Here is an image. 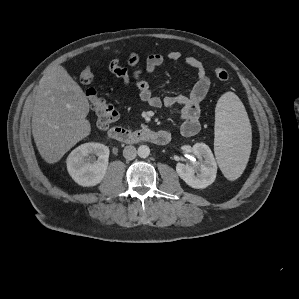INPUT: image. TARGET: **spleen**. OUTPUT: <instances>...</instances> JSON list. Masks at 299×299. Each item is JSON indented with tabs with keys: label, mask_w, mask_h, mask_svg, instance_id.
Here are the masks:
<instances>
[{
	"label": "spleen",
	"mask_w": 299,
	"mask_h": 299,
	"mask_svg": "<svg viewBox=\"0 0 299 299\" xmlns=\"http://www.w3.org/2000/svg\"><path fill=\"white\" fill-rule=\"evenodd\" d=\"M251 151V126L245 107L233 92L223 94L215 108L214 152L228 180L243 173Z\"/></svg>",
	"instance_id": "3e777b00"
}]
</instances>
